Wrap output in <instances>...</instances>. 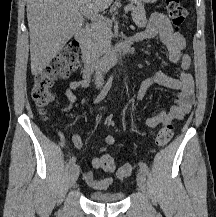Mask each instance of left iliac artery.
Listing matches in <instances>:
<instances>
[{
  "mask_svg": "<svg viewBox=\"0 0 216 217\" xmlns=\"http://www.w3.org/2000/svg\"><path fill=\"white\" fill-rule=\"evenodd\" d=\"M139 166H140V169L145 173V174H149V168L148 166L143 163V162H139Z\"/></svg>",
  "mask_w": 216,
  "mask_h": 217,
  "instance_id": "44dca946",
  "label": "left iliac artery"
}]
</instances>
